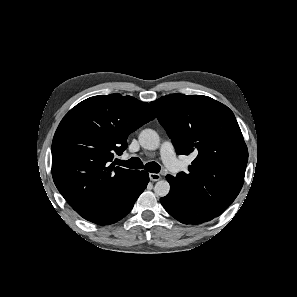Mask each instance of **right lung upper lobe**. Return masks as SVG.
<instances>
[{"label":"right lung upper lobe","instance_id":"right-lung-upper-lobe-1","mask_svg":"<svg viewBox=\"0 0 297 297\" xmlns=\"http://www.w3.org/2000/svg\"><path fill=\"white\" fill-rule=\"evenodd\" d=\"M154 118L148 103L110 94L80 102L62 119L52 142V176L81 217H96L130 179L134 170L111 162L128 135Z\"/></svg>","mask_w":297,"mask_h":297}]
</instances>
